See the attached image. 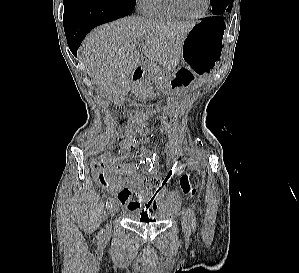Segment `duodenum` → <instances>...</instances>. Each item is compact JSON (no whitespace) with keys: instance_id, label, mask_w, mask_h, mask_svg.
Segmentation results:
<instances>
[{"instance_id":"duodenum-1","label":"duodenum","mask_w":299,"mask_h":273,"mask_svg":"<svg viewBox=\"0 0 299 273\" xmlns=\"http://www.w3.org/2000/svg\"><path fill=\"white\" fill-rule=\"evenodd\" d=\"M144 74H145L144 69L141 66H137L132 73L133 82L136 83L140 81L143 78Z\"/></svg>"}]
</instances>
